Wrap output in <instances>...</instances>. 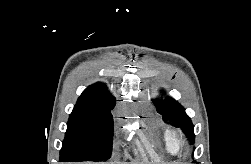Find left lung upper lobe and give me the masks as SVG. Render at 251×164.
Here are the masks:
<instances>
[{"instance_id": "5c2ea615", "label": "left lung upper lobe", "mask_w": 251, "mask_h": 164, "mask_svg": "<svg viewBox=\"0 0 251 164\" xmlns=\"http://www.w3.org/2000/svg\"><path fill=\"white\" fill-rule=\"evenodd\" d=\"M153 103L157 106V110L160 114L176 123L184 133L189 136L190 142L194 143V126L189 116L185 113V109L177 101L167 97L163 101L154 99Z\"/></svg>"}]
</instances>
